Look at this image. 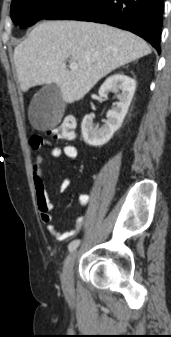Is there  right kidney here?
Returning <instances> with one entry per match:
<instances>
[{"instance_id":"1","label":"right kidney","mask_w":171,"mask_h":337,"mask_svg":"<svg viewBox=\"0 0 171 337\" xmlns=\"http://www.w3.org/2000/svg\"><path fill=\"white\" fill-rule=\"evenodd\" d=\"M136 89L134 79L123 73L110 76L99 89L100 98H107L110 92L117 94L118 103L108 111L107 120L103 126L94 125V115H86L82 121L81 129L84 141L91 146L106 144L113 134L121 127L128 112Z\"/></svg>"}]
</instances>
